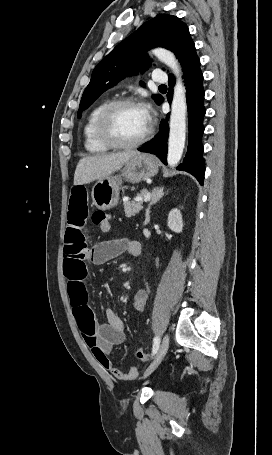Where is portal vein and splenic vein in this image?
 <instances>
[{
    "label": "portal vein and splenic vein",
    "instance_id": "1",
    "mask_svg": "<svg viewBox=\"0 0 272 455\" xmlns=\"http://www.w3.org/2000/svg\"><path fill=\"white\" fill-rule=\"evenodd\" d=\"M150 198H151V194L148 192V193H146V195L144 196V201L147 202V201L150 200Z\"/></svg>",
    "mask_w": 272,
    "mask_h": 455
}]
</instances>
